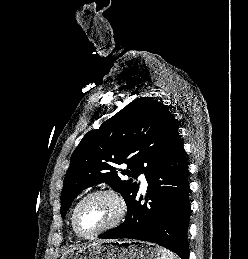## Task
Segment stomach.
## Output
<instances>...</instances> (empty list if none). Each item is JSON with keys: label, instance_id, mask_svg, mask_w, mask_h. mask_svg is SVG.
<instances>
[{"label": "stomach", "instance_id": "stomach-1", "mask_svg": "<svg viewBox=\"0 0 248 259\" xmlns=\"http://www.w3.org/2000/svg\"><path fill=\"white\" fill-rule=\"evenodd\" d=\"M61 259H161V248L136 240L106 241L70 249Z\"/></svg>", "mask_w": 248, "mask_h": 259}]
</instances>
